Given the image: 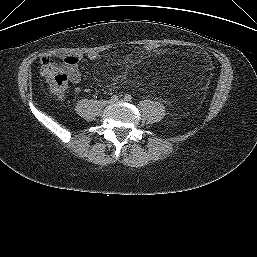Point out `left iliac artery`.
Masks as SVG:
<instances>
[{"label": "left iliac artery", "mask_w": 257, "mask_h": 257, "mask_svg": "<svg viewBox=\"0 0 257 257\" xmlns=\"http://www.w3.org/2000/svg\"><path fill=\"white\" fill-rule=\"evenodd\" d=\"M124 99H125L126 101H131L132 97H131L130 94H126V95L124 96Z\"/></svg>", "instance_id": "44dca946"}]
</instances>
